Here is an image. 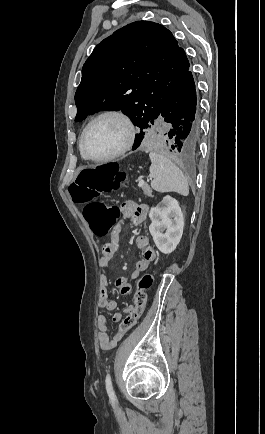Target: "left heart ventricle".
Masks as SVG:
<instances>
[{
    "mask_svg": "<svg viewBox=\"0 0 265 434\" xmlns=\"http://www.w3.org/2000/svg\"><path fill=\"white\" fill-rule=\"evenodd\" d=\"M126 126L116 117H106L95 123L89 130L84 151L92 158H104L117 151L125 142Z\"/></svg>",
    "mask_w": 265,
    "mask_h": 434,
    "instance_id": "obj_1",
    "label": "left heart ventricle"
}]
</instances>
